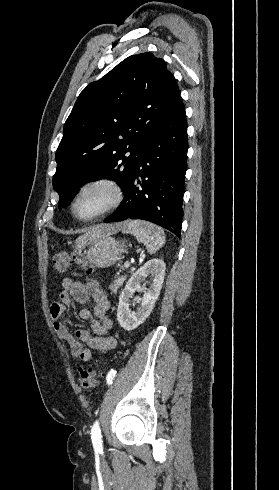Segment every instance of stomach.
Here are the masks:
<instances>
[{
    "mask_svg": "<svg viewBox=\"0 0 279 490\" xmlns=\"http://www.w3.org/2000/svg\"><path fill=\"white\" fill-rule=\"evenodd\" d=\"M88 250H85L81 256L85 260L95 266V268H110L122 258V254H126L128 246L126 242H119L111 236L91 240L88 244Z\"/></svg>",
    "mask_w": 279,
    "mask_h": 490,
    "instance_id": "obj_1",
    "label": "stomach"
}]
</instances>
